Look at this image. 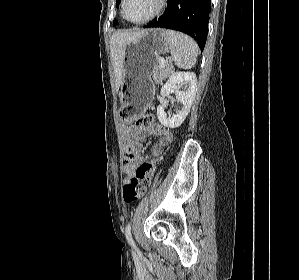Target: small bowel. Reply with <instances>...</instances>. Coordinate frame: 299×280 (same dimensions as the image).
I'll return each mask as SVG.
<instances>
[{
	"label": "small bowel",
	"instance_id": "c3829d8e",
	"mask_svg": "<svg viewBox=\"0 0 299 280\" xmlns=\"http://www.w3.org/2000/svg\"><path fill=\"white\" fill-rule=\"evenodd\" d=\"M143 128H145V133H134V125H130L125 129L126 137L133 139V141L130 143L132 148V157L129 161L124 163L123 167L125 173V183L135 178L138 166L144 162L142 147L139 143L140 140L148 136L158 137V140L151 148L152 155L157 158L163 154L164 148L172 140V135L169 130L154 119L148 126Z\"/></svg>",
	"mask_w": 299,
	"mask_h": 280
}]
</instances>
